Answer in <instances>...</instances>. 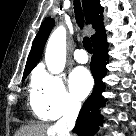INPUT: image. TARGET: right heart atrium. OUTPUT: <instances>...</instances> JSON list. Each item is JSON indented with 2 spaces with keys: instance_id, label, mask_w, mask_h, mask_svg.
I'll return each instance as SVG.
<instances>
[{
  "instance_id": "right-heart-atrium-1",
  "label": "right heart atrium",
  "mask_w": 136,
  "mask_h": 136,
  "mask_svg": "<svg viewBox=\"0 0 136 136\" xmlns=\"http://www.w3.org/2000/svg\"><path fill=\"white\" fill-rule=\"evenodd\" d=\"M30 102L37 117L51 120L73 114L80 107L67 91L63 77L43 71L33 78Z\"/></svg>"
}]
</instances>
